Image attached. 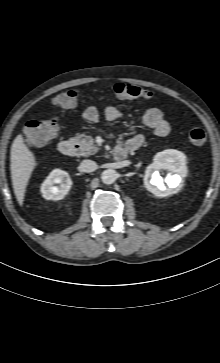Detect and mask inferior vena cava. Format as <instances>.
<instances>
[{"label": "inferior vena cava", "instance_id": "obj_1", "mask_svg": "<svg viewBox=\"0 0 220 363\" xmlns=\"http://www.w3.org/2000/svg\"><path fill=\"white\" fill-rule=\"evenodd\" d=\"M98 168V165L96 164V162L92 161V160H83L80 164V169L83 172H93Z\"/></svg>", "mask_w": 220, "mask_h": 363}]
</instances>
